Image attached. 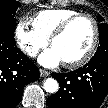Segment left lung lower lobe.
<instances>
[{"mask_svg":"<svg viewBox=\"0 0 108 108\" xmlns=\"http://www.w3.org/2000/svg\"><path fill=\"white\" fill-rule=\"evenodd\" d=\"M52 77L60 89L48 98V108H98L108 92V57H93L82 68Z\"/></svg>","mask_w":108,"mask_h":108,"instance_id":"obj_1","label":"left lung lower lobe"}]
</instances>
